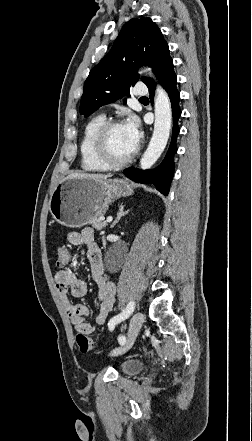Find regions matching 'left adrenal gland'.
I'll use <instances>...</instances> for the list:
<instances>
[{
  "instance_id": "left-adrenal-gland-1",
  "label": "left adrenal gland",
  "mask_w": 252,
  "mask_h": 441,
  "mask_svg": "<svg viewBox=\"0 0 252 441\" xmlns=\"http://www.w3.org/2000/svg\"><path fill=\"white\" fill-rule=\"evenodd\" d=\"M124 210V206H121L120 208H119V211H118V213H117V217H116V219H115V221L113 222V224L111 225V228H113L119 221H120V219L123 217V216H125L126 214H128V212H129V210H127V211H123Z\"/></svg>"
}]
</instances>
